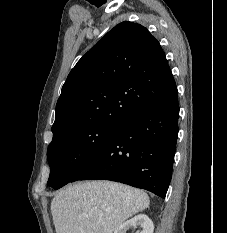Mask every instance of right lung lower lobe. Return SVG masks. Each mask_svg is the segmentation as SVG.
I'll use <instances>...</instances> for the list:
<instances>
[{"instance_id":"98d812e1","label":"right lung lower lobe","mask_w":227,"mask_h":233,"mask_svg":"<svg viewBox=\"0 0 227 233\" xmlns=\"http://www.w3.org/2000/svg\"><path fill=\"white\" fill-rule=\"evenodd\" d=\"M178 118L175 86L163 98L122 122L70 182L112 180L165 198L172 177Z\"/></svg>"}]
</instances>
